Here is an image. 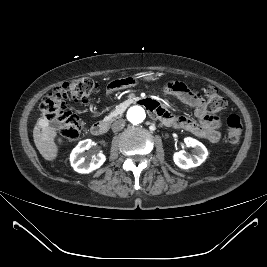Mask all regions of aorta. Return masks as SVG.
Instances as JSON below:
<instances>
[{
  "instance_id": "1",
  "label": "aorta",
  "mask_w": 267,
  "mask_h": 267,
  "mask_svg": "<svg viewBox=\"0 0 267 267\" xmlns=\"http://www.w3.org/2000/svg\"><path fill=\"white\" fill-rule=\"evenodd\" d=\"M146 118L145 110L141 106H132L127 112V119L132 124H140Z\"/></svg>"
}]
</instances>
